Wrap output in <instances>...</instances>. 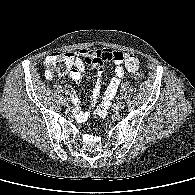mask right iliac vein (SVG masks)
<instances>
[{"instance_id":"obj_1","label":"right iliac vein","mask_w":195,"mask_h":195,"mask_svg":"<svg viewBox=\"0 0 195 195\" xmlns=\"http://www.w3.org/2000/svg\"><path fill=\"white\" fill-rule=\"evenodd\" d=\"M70 103H71V100L68 97H65L64 98V105L68 106V105H70Z\"/></svg>"}]
</instances>
